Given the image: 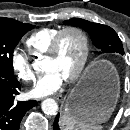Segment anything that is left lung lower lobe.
Wrapping results in <instances>:
<instances>
[{
	"mask_svg": "<svg viewBox=\"0 0 130 130\" xmlns=\"http://www.w3.org/2000/svg\"><path fill=\"white\" fill-rule=\"evenodd\" d=\"M97 82L98 77L94 75H88L82 83L83 92H89L90 90H92L96 86ZM58 121H59V114L55 118L54 130H60Z\"/></svg>",
	"mask_w": 130,
	"mask_h": 130,
	"instance_id": "0a47b994",
	"label": "left lung lower lobe"
}]
</instances>
